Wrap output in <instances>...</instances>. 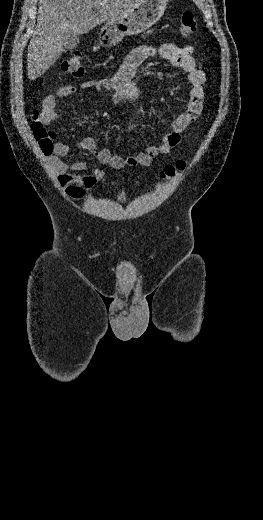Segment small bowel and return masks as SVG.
<instances>
[{"label":"small bowel","instance_id":"small-bowel-1","mask_svg":"<svg viewBox=\"0 0 263 520\" xmlns=\"http://www.w3.org/2000/svg\"><path fill=\"white\" fill-rule=\"evenodd\" d=\"M154 56L164 58L173 66L185 71L190 84L188 105L185 111L172 121L169 131L162 137L161 142L155 146L147 147L145 151L136 155L122 157L113 155L108 149H99L92 137L83 136L80 139L81 146L94 155L100 164L108 165L113 169H122L127 166H150L156 156L169 153L180 143L181 133L195 122L202 113L206 77L193 55L191 46L180 47L173 43H162L159 46H138L127 55L113 77L100 80H86L79 87L64 85L59 87L55 94L45 97L39 120L43 124H49L59 118V114L56 112L58 98L74 95L79 88L95 89L111 93L120 100L130 101L134 108L131 128H135L142 119V110L138 105L141 90L134 82V76L137 69ZM52 152L53 154L49 157L48 163L57 175L60 185L74 199H80L84 195L85 190L93 188L105 176L104 170L101 168H96L91 173H83L82 171L85 170L86 165L82 161L65 162L62 158L69 154L70 148L63 143H56Z\"/></svg>","mask_w":263,"mask_h":520}]
</instances>
